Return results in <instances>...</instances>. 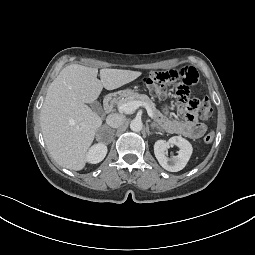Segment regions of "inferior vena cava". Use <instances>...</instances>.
Instances as JSON below:
<instances>
[{
  "mask_svg": "<svg viewBox=\"0 0 255 255\" xmlns=\"http://www.w3.org/2000/svg\"><path fill=\"white\" fill-rule=\"evenodd\" d=\"M125 117L120 114H110L107 116L106 123L112 128H118L123 125Z\"/></svg>",
  "mask_w": 255,
  "mask_h": 255,
  "instance_id": "inferior-vena-cava-1",
  "label": "inferior vena cava"
}]
</instances>
